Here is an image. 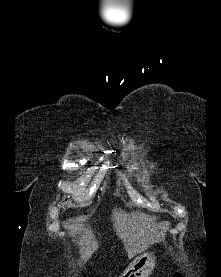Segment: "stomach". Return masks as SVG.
Here are the masks:
<instances>
[{"instance_id":"stomach-1","label":"stomach","mask_w":221,"mask_h":277,"mask_svg":"<svg viewBox=\"0 0 221 277\" xmlns=\"http://www.w3.org/2000/svg\"><path fill=\"white\" fill-rule=\"evenodd\" d=\"M155 259L153 252H144L137 256L121 274L120 277H148L154 269Z\"/></svg>"}]
</instances>
